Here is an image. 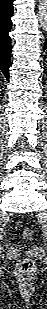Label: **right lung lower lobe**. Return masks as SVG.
<instances>
[{
    "mask_svg": "<svg viewBox=\"0 0 47 309\" xmlns=\"http://www.w3.org/2000/svg\"><path fill=\"white\" fill-rule=\"evenodd\" d=\"M13 0H0V70L9 81L11 60V38Z\"/></svg>",
    "mask_w": 47,
    "mask_h": 309,
    "instance_id": "1",
    "label": "right lung lower lobe"
}]
</instances>
